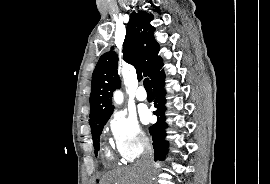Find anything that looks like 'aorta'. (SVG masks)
<instances>
[{
  "instance_id": "762f6f07",
  "label": "aorta",
  "mask_w": 270,
  "mask_h": 184,
  "mask_svg": "<svg viewBox=\"0 0 270 184\" xmlns=\"http://www.w3.org/2000/svg\"><path fill=\"white\" fill-rule=\"evenodd\" d=\"M114 101L116 104H121L123 102V94L120 91H116L114 94Z\"/></svg>"
}]
</instances>
